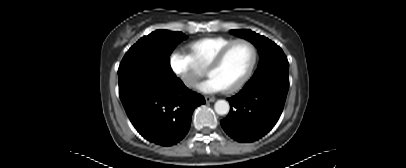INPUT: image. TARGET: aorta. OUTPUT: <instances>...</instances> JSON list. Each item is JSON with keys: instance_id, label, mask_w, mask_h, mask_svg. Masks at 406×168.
Listing matches in <instances>:
<instances>
[{"instance_id": "aorta-1", "label": "aorta", "mask_w": 406, "mask_h": 168, "mask_svg": "<svg viewBox=\"0 0 406 168\" xmlns=\"http://www.w3.org/2000/svg\"><path fill=\"white\" fill-rule=\"evenodd\" d=\"M215 112L219 115L228 114L230 110L229 103L225 100H218L214 105Z\"/></svg>"}]
</instances>
